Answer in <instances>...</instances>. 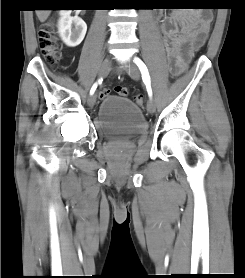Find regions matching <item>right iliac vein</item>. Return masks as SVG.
<instances>
[{"mask_svg":"<svg viewBox=\"0 0 245 278\" xmlns=\"http://www.w3.org/2000/svg\"><path fill=\"white\" fill-rule=\"evenodd\" d=\"M111 65V59L110 58H107L101 65V67L99 68L98 70V76L100 78L104 77L108 70H109V67ZM95 102H96V98L94 95H90L89 98H88V105L89 107L93 108L94 105H95Z\"/></svg>","mask_w":245,"mask_h":278,"instance_id":"right-iliac-vein-1","label":"right iliac vein"}]
</instances>
